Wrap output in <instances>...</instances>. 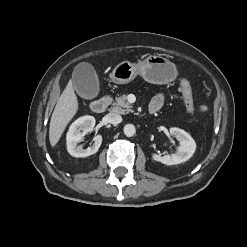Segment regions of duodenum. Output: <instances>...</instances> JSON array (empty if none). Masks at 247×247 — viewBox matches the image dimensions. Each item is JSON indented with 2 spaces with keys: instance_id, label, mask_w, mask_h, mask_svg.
Listing matches in <instances>:
<instances>
[{
  "instance_id": "obj_1",
  "label": "duodenum",
  "mask_w": 247,
  "mask_h": 247,
  "mask_svg": "<svg viewBox=\"0 0 247 247\" xmlns=\"http://www.w3.org/2000/svg\"><path fill=\"white\" fill-rule=\"evenodd\" d=\"M109 103H110V98L108 96H103L93 100L90 104V108L95 113H102L107 109ZM150 112L153 113L152 111Z\"/></svg>"
}]
</instances>
